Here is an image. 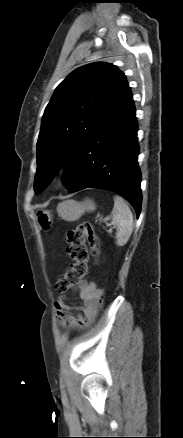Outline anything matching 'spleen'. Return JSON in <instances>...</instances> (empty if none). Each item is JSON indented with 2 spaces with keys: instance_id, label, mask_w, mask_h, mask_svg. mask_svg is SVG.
Listing matches in <instances>:
<instances>
[{
  "instance_id": "spleen-1",
  "label": "spleen",
  "mask_w": 183,
  "mask_h": 438,
  "mask_svg": "<svg viewBox=\"0 0 183 438\" xmlns=\"http://www.w3.org/2000/svg\"><path fill=\"white\" fill-rule=\"evenodd\" d=\"M112 221L117 227L116 245L124 246L133 231V214L127 203L119 196H114Z\"/></svg>"
}]
</instances>
